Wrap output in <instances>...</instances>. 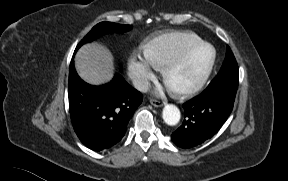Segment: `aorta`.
Masks as SVG:
<instances>
[{
	"instance_id": "762f6f07",
	"label": "aorta",
	"mask_w": 288,
	"mask_h": 181,
	"mask_svg": "<svg viewBox=\"0 0 288 181\" xmlns=\"http://www.w3.org/2000/svg\"><path fill=\"white\" fill-rule=\"evenodd\" d=\"M162 117L166 124L174 126L180 121V110L173 104H167L163 108Z\"/></svg>"
}]
</instances>
